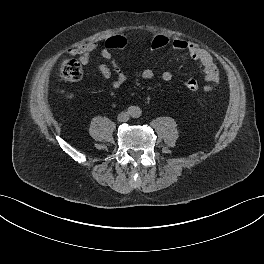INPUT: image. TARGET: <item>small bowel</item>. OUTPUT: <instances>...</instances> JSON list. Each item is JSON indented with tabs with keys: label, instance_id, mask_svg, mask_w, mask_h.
Listing matches in <instances>:
<instances>
[{
	"label": "small bowel",
	"instance_id": "obj_1",
	"mask_svg": "<svg viewBox=\"0 0 264 264\" xmlns=\"http://www.w3.org/2000/svg\"><path fill=\"white\" fill-rule=\"evenodd\" d=\"M171 47L175 51H181L187 53V55L200 66L205 82V89L210 90L218 85L220 81L219 71L213 61L212 56L200 48L193 42L187 41L182 38H174L171 41ZM98 48V43L96 41H90L78 48L71 51L73 55L79 57V61L83 65H87L91 61V54ZM101 56L108 62L99 65L100 75L106 79L110 80V87L113 89H119L128 79V75L124 72L115 62L112 57V53L105 46L100 50ZM157 75L156 71L150 68L141 71L140 76L144 80H151ZM173 72L166 70L161 74V78L169 82L173 79Z\"/></svg>",
	"mask_w": 264,
	"mask_h": 264
}]
</instances>
